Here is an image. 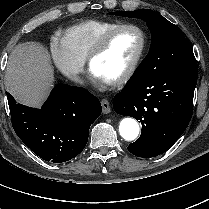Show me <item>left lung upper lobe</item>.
<instances>
[{"label":"left lung upper lobe","instance_id":"left-lung-upper-lobe-1","mask_svg":"<svg viewBox=\"0 0 209 209\" xmlns=\"http://www.w3.org/2000/svg\"><path fill=\"white\" fill-rule=\"evenodd\" d=\"M113 15L144 20L151 32L149 53L134 73L159 76L185 64L196 62L182 31L160 14L149 10L111 12Z\"/></svg>","mask_w":209,"mask_h":209}]
</instances>
